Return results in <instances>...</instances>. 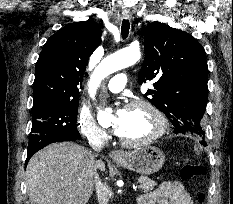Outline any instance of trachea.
<instances>
[{
	"instance_id": "1",
	"label": "trachea",
	"mask_w": 233,
	"mask_h": 204,
	"mask_svg": "<svg viewBox=\"0 0 233 204\" xmlns=\"http://www.w3.org/2000/svg\"><path fill=\"white\" fill-rule=\"evenodd\" d=\"M129 29H130L129 20L124 19L122 21V26H121V35L123 39H126L128 37Z\"/></svg>"
}]
</instances>
